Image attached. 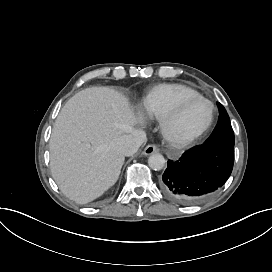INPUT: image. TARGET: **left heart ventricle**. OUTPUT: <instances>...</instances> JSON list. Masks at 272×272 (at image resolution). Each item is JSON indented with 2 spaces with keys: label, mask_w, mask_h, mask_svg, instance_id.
<instances>
[{
  "label": "left heart ventricle",
  "mask_w": 272,
  "mask_h": 272,
  "mask_svg": "<svg viewBox=\"0 0 272 272\" xmlns=\"http://www.w3.org/2000/svg\"><path fill=\"white\" fill-rule=\"evenodd\" d=\"M210 115V108L203 100L190 102L174 121V127L182 132H191L203 127Z\"/></svg>",
  "instance_id": "1"
}]
</instances>
